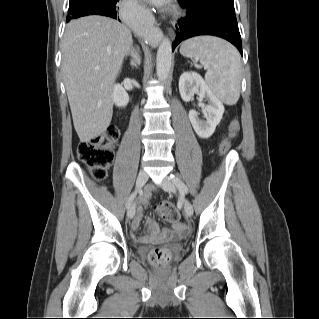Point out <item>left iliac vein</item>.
Instances as JSON below:
<instances>
[{"label": "left iliac vein", "instance_id": "1", "mask_svg": "<svg viewBox=\"0 0 319 319\" xmlns=\"http://www.w3.org/2000/svg\"><path fill=\"white\" fill-rule=\"evenodd\" d=\"M160 185L167 192L175 193L176 191L175 185L170 177H165ZM183 208L187 216L191 217L193 215V206L186 198L183 199Z\"/></svg>", "mask_w": 319, "mask_h": 319}]
</instances>
